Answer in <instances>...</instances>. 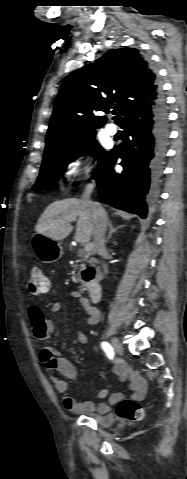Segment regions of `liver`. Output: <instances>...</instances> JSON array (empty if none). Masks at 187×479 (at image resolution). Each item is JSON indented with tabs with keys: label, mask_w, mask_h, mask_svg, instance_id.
Wrapping results in <instances>:
<instances>
[{
	"label": "liver",
	"mask_w": 187,
	"mask_h": 479,
	"mask_svg": "<svg viewBox=\"0 0 187 479\" xmlns=\"http://www.w3.org/2000/svg\"><path fill=\"white\" fill-rule=\"evenodd\" d=\"M77 220L74 239L88 243L93 235L91 216L81 199L68 198L52 202L40 216L35 230L56 241L65 239L71 232V222Z\"/></svg>",
	"instance_id": "obj_1"
}]
</instances>
